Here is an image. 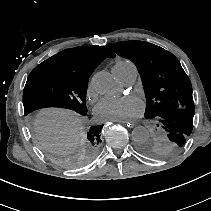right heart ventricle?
Wrapping results in <instances>:
<instances>
[{
  "instance_id": "obj_1",
  "label": "right heart ventricle",
  "mask_w": 211,
  "mask_h": 211,
  "mask_svg": "<svg viewBox=\"0 0 211 211\" xmlns=\"http://www.w3.org/2000/svg\"><path fill=\"white\" fill-rule=\"evenodd\" d=\"M135 64L129 59H118L113 67V72L121 78L128 71L135 69Z\"/></svg>"
}]
</instances>
